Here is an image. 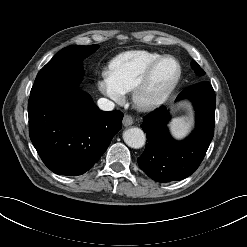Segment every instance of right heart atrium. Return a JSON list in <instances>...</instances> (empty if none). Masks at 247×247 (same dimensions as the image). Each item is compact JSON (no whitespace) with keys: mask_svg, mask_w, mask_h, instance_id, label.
<instances>
[{"mask_svg":"<svg viewBox=\"0 0 247 247\" xmlns=\"http://www.w3.org/2000/svg\"><path fill=\"white\" fill-rule=\"evenodd\" d=\"M98 88L101 93L108 96L114 101H122L124 92H122L113 82L109 72H103L98 81Z\"/></svg>","mask_w":247,"mask_h":247,"instance_id":"right-heart-atrium-1","label":"right heart atrium"}]
</instances>
